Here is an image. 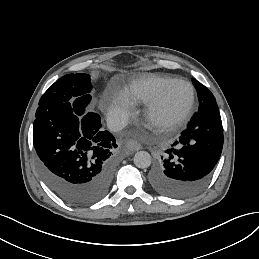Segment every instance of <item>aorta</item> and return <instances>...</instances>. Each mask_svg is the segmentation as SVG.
I'll list each match as a JSON object with an SVG mask.
<instances>
[{"label": "aorta", "mask_w": 259, "mask_h": 259, "mask_svg": "<svg viewBox=\"0 0 259 259\" xmlns=\"http://www.w3.org/2000/svg\"><path fill=\"white\" fill-rule=\"evenodd\" d=\"M133 161L138 168H148L151 165V156L146 151H139L134 155Z\"/></svg>", "instance_id": "1"}]
</instances>
